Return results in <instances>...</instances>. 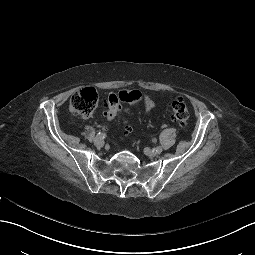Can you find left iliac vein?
I'll return each instance as SVG.
<instances>
[{
    "label": "left iliac vein",
    "mask_w": 255,
    "mask_h": 255,
    "mask_svg": "<svg viewBox=\"0 0 255 255\" xmlns=\"http://www.w3.org/2000/svg\"><path fill=\"white\" fill-rule=\"evenodd\" d=\"M145 154L149 157H154L157 153L149 148H145Z\"/></svg>",
    "instance_id": "4c4485c4"
}]
</instances>
